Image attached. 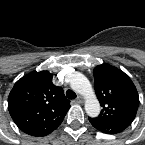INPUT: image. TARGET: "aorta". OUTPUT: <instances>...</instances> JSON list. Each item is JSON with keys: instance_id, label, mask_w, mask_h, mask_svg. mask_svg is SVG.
Returning <instances> with one entry per match:
<instances>
[{"instance_id": "1", "label": "aorta", "mask_w": 145, "mask_h": 145, "mask_svg": "<svg viewBox=\"0 0 145 145\" xmlns=\"http://www.w3.org/2000/svg\"><path fill=\"white\" fill-rule=\"evenodd\" d=\"M71 88L85 98V111L90 117L100 113V103L94 93L90 81L82 73L76 72L70 81Z\"/></svg>"}]
</instances>
